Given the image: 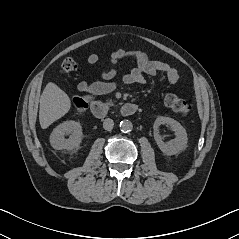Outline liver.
Listing matches in <instances>:
<instances>
[{
    "instance_id": "1",
    "label": "liver",
    "mask_w": 239,
    "mask_h": 239,
    "mask_svg": "<svg viewBox=\"0 0 239 239\" xmlns=\"http://www.w3.org/2000/svg\"><path fill=\"white\" fill-rule=\"evenodd\" d=\"M71 107L69 96L55 83L49 82L40 98L39 122L42 129L63 117Z\"/></svg>"
}]
</instances>
